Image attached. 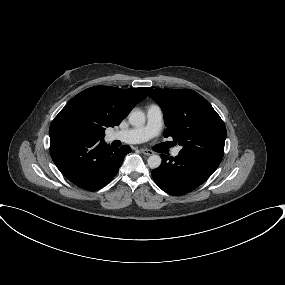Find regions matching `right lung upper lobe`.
I'll list each match as a JSON object with an SVG mask.
<instances>
[{
    "instance_id": "cb5924a9",
    "label": "right lung upper lobe",
    "mask_w": 285,
    "mask_h": 285,
    "mask_svg": "<svg viewBox=\"0 0 285 285\" xmlns=\"http://www.w3.org/2000/svg\"><path fill=\"white\" fill-rule=\"evenodd\" d=\"M150 91L151 88H88L73 97L55 117L49 128L50 138L80 132L88 141H104L105 128L119 125Z\"/></svg>"
}]
</instances>
